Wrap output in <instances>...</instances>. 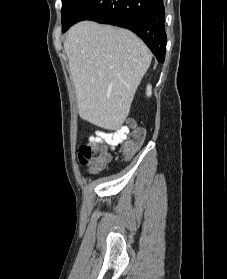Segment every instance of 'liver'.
Listing matches in <instances>:
<instances>
[{
    "label": "liver",
    "instance_id": "6515ba94",
    "mask_svg": "<svg viewBox=\"0 0 227 279\" xmlns=\"http://www.w3.org/2000/svg\"><path fill=\"white\" fill-rule=\"evenodd\" d=\"M64 50L79 116L103 129H119L151 64L148 47L127 29L82 21L69 29Z\"/></svg>",
    "mask_w": 227,
    "mask_h": 279
}]
</instances>
